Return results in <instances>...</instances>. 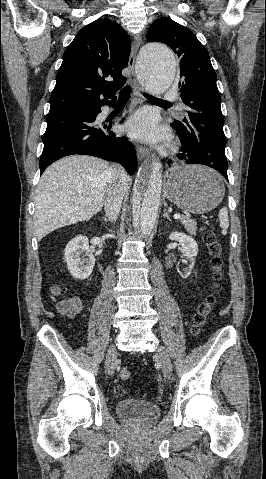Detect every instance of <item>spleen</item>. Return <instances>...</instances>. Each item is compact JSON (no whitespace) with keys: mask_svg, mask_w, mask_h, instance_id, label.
I'll return each instance as SVG.
<instances>
[{"mask_svg":"<svg viewBox=\"0 0 266 479\" xmlns=\"http://www.w3.org/2000/svg\"><path fill=\"white\" fill-rule=\"evenodd\" d=\"M218 217H219V220H220V227L222 228L221 233L223 235H226L227 234V229L229 227L228 210H227L226 207L222 208L219 211Z\"/></svg>","mask_w":266,"mask_h":479,"instance_id":"3e777b00","label":"spleen"}]
</instances>
